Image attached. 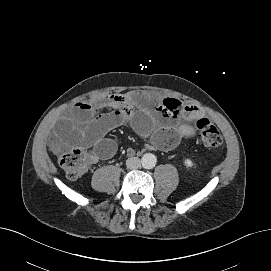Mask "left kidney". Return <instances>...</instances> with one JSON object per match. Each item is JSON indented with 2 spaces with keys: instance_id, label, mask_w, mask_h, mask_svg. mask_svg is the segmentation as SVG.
Instances as JSON below:
<instances>
[{
  "instance_id": "obj_1",
  "label": "left kidney",
  "mask_w": 271,
  "mask_h": 271,
  "mask_svg": "<svg viewBox=\"0 0 271 271\" xmlns=\"http://www.w3.org/2000/svg\"><path fill=\"white\" fill-rule=\"evenodd\" d=\"M184 165L190 168L193 166V162L190 159H186Z\"/></svg>"
}]
</instances>
